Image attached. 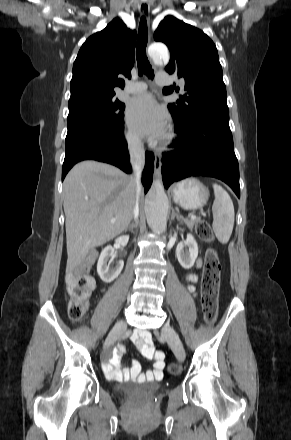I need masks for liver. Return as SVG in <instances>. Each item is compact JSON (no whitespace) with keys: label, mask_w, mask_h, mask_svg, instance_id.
I'll return each mask as SVG.
<instances>
[{"label":"liver","mask_w":291,"mask_h":440,"mask_svg":"<svg viewBox=\"0 0 291 440\" xmlns=\"http://www.w3.org/2000/svg\"><path fill=\"white\" fill-rule=\"evenodd\" d=\"M63 197L69 273L84 261L90 249L127 229L137 196L131 176L111 165L87 160L67 174Z\"/></svg>","instance_id":"1"}]
</instances>
